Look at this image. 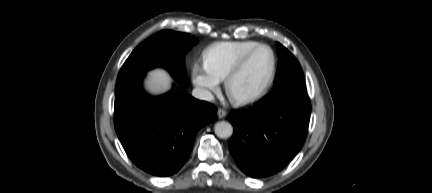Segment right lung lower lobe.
Masks as SVG:
<instances>
[{
	"label": "right lung lower lobe",
	"instance_id": "right-lung-lower-lobe-1",
	"mask_svg": "<svg viewBox=\"0 0 432 193\" xmlns=\"http://www.w3.org/2000/svg\"><path fill=\"white\" fill-rule=\"evenodd\" d=\"M145 73L118 81L115 130L133 163L156 176H169L186 162L200 128L217 117L215 106L177 90L158 97L142 87Z\"/></svg>",
	"mask_w": 432,
	"mask_h": 193
}]
</instances>
